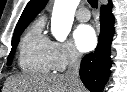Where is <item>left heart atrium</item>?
<instances>
[{
	"label": "left heart atrium",
	"mask_w": 127,
	"mask_h": 92,
	"mask_svg": "<svg viewBox=\"0 0 127 92\" xmlns=\"http://www.w3.org/2000/svg\"><path fill=\"white\" fill-rule=\"evenodd\" d=\"M74 41L81 52H88L96 46V33L90 25H80L74 32Z\"/></svg>",
	"instance_id": "1"
}]
</instances>
